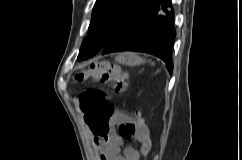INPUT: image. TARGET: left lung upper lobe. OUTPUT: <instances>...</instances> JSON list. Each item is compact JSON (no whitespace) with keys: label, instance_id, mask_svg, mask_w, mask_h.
<instances>
[{"label":"left lung upper lobe","instance_id":"left-lung-upper-lobe-1","mask_svg":"<svg viewBox=\"0 0 242 160\" xmlns=\"http://www.w3.org/2000/svg\"><path fill=\"white\" fill-rule=\"evenodd\" d=\"M155 0H97L78 60L88 59L129 26Z\"/></svg>","mask_w":242,"mask_h":160}]
</instances>
